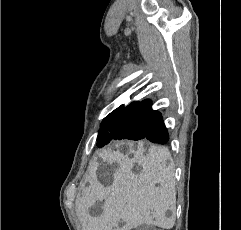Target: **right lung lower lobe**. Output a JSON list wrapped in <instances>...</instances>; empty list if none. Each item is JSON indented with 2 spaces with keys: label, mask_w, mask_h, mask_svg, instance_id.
I'll list each match as a JSON object with an SVG mask.
<instances>
[{
  "label": "right lung lower lobe",
  "mask_w": 241,
  "mask_h": 230,
  "mask_svg": "<svg viewBox=\"0 0 241 230\" xmlns=\"http://www.w3.org/2000/svg\"><path fill=\"white\" fill-rule=\"evenodd\" d=\"M151 101L148 103L146 110L140 114V121L131 127L138 138L148 139L151 142L165 144L169 140L167 129L163 123L162 116L158 111L151 109ZM129 113L124 115H134Z\"/></svg>",
  "instance_id": "right-lung-lower-lobe-1"
}]
</instances>
